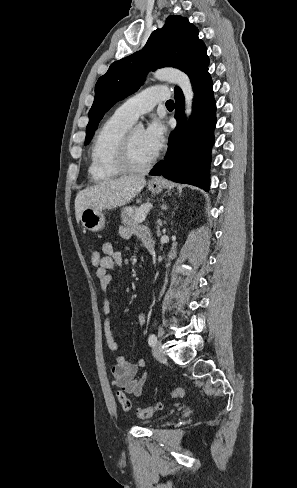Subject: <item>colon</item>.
<instances>
[{
	"instance_id": "1",
	"label": "colon",
	"mask_w": 297,
	"mask_h": 488,
	"mask_svg": "<svg viewBox=\"0 0 297 488\" xmlns=\"http://www.w3.org/2000/svg\"><path fill=\"white\" fill-rule=\"evenodd\" d=\"M101 255L98 251L94 250L91 252V263L94 267L98 268L101 263ZM117 400L124 411H129L132 407L131 401L124 391H117ZM171 396L174 398L181 399L184 396V390L182 388H175L171 391ZM163 404L161 402L156 403L153 406L147 408H141L138 410V416L141 419H147L154 415L158 410L162 409Z\"/></svg>"
}]
</instances>
